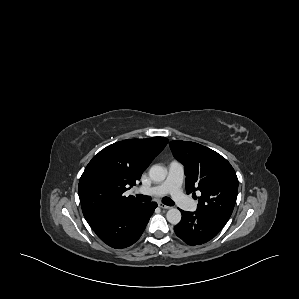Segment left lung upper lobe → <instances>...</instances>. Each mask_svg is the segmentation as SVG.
<instances>
[{
	"label": "left lung upper lobe",
	"instance_id": "obj_1",
	"mask_svg": "<svg viewBox=\"0 0 299 299\" xmlns=\"http://www.w3.org/2000/svg\"><path fill=\"white\" fill-rule=\"evenodd\" d=\"M170 148L185 167L186 192L200 191L197 212L224 226L229 220L238 192L237 175L217 152L188 141H171Z\"/></svg>",
	"mask_w": 299,
	"mask_h": 299
}]
</instances>
